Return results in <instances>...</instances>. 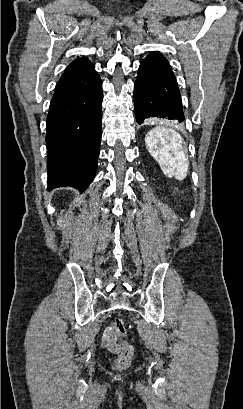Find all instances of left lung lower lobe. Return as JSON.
I'll return each mask as SVG.
<instances>
[{
    "label": "left lung lower lobe",
    "instance_id": "obj_1",
    "mask_svg": "<svg viewBox=\"0 0 243 409\" xmlns=\"http://www.w3.org/2000/svg\"><path fill=\"white\" fill-rule=\"evenodd\" d=\"M136 121L150 117L184 121L181 95L170 66L143 60L134 86Z\"/></svg>",
    "mask_w": 243,
    "mask_h": 409
}]
</instances>
